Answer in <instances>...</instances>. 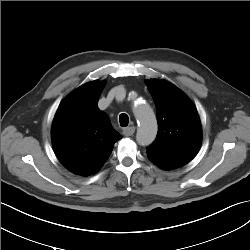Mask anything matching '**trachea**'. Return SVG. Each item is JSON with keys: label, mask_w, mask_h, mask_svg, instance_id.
<instances>
[{"label": "trachea", "mask_w": 250, "mask_h": 250, "mask_svg": "<svg viewBox=\"0 0 250 250\" xmlns=\"http://www.w3.org/2000/svg\"><path fill=\"white\" fill-rule=\"evenodd\" d=\"M119 122H120V125L122 127L128 126V123H129V117H128V115L127 114H121L119 116Z\"/></svg>", "instance_id": "trachea-1"}]
</instances>
